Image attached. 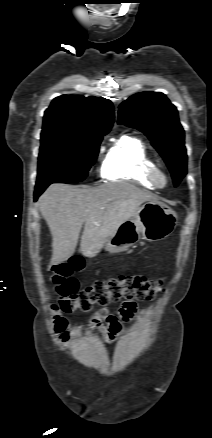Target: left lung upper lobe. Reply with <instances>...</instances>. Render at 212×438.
Wrapping results in <instances>:
<instances>
[{"label":"left lung upper lobe","mask_w":212,"mask_h":438,"mask_svg":"<svg viewBox=\"0 0 212 438\" xmlns=\"http://www.w3.org/2000/svg\"><path fill=\"white\" fill-rule=\"evenodd\" d=\"M118 117L119 124L137 128L151 140L177 186L187 173V155L176 107L163 93L142 92L120 105Z\"/></svg>","instance_id":"left-lung-upper-lobe-1"}]
</instances>
